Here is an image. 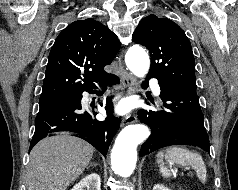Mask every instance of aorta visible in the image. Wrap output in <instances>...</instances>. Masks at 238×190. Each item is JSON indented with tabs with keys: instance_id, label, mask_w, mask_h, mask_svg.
<instances>
[{
	"instance_id": "1",
	"label": "aorta",
	"mask_w": 238,
	"mask_h": 190,
	"mask_svg": "<svg viewBox=\"0 0 238 190\" xmlns=\"http://www.w3.org/2000/svg\"><path fill=\"white\" fill-rule=\"evenodd\" d=\"M125 61L129 70L138 77H144L150 67L149 56L139 45L128 50ZM149 134L148 128L142 124H132L122 129L111 152V166L116 174L122 177L132 174L137 161V147Z\"/></svg>"
}]
</instances>
